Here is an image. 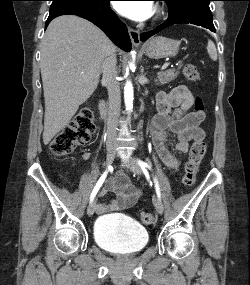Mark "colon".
Returning <instances> with one entry per match:
<instances>
[{"instance_id":"1","label":"colon","mask_w":250,"mask_h":285,"mask_svg":"<svg viewBox=\"0 0 250 285\" xmlns=\"http://www.w3.org/2000/svg\"><path fill=\"white\" fill-rule=\"evenodd\" d=\"M185 78L193 83L200 80V72L196 66L188 64L183 70ZM195 111H203V103L200 98L196 99ZM95 130L93 112L89 107H83L51 141L50 153L54 157H62L70 154L77 146L89 141ZM206 153V144L203 139L192 143L189 151V159L185 165L183 183L192 186L195 183L199 165ZM140 220L147 225L155 221L152 213H142Z\"/></svg>"}]
</instances>
